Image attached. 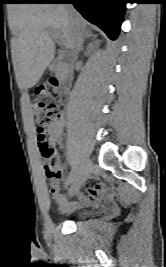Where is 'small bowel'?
Returning a JSON list of instances; mask_svg holds the SVG:
<instances>
[{
  "instance_id": "c3829d8e",
  "label": "small bowel",
  "mask_w": 166,
  "mask_h": 267,
  "mask_svg": "<svg viewBox=\"0 0 166 267\" xmlns=\"http://www.w3.org/2000/svg\"><path fill=\"white\" fill-rule=\"evenodd\" d=\"M65 122V117L61 116L60 119L49 125L48 135L50 144L56 145L60 141L64 133ZM52 161L58 174L56 177L50 179V192L53 200L63 211L72 212L90 206L105 197L107 192L106 185L104 183H96L93 186H87L86 193H79L76 202H66L60 193V181L63 178V171L59 166V157L56 152L53 155Z\"/></svg>"
}]
</instances>
